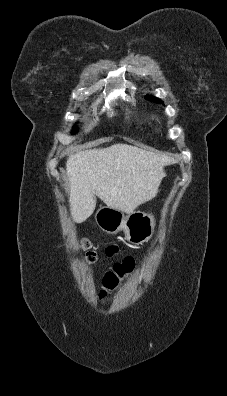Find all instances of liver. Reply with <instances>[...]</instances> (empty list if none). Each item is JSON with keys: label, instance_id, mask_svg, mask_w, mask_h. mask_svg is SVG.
<instances>
[{"label": "liver", "instance_id": "obj_1", "mask_svg": "<svg viewBox=\"0 0 227 396\" xmlns=\"http://www.w3.org/2000/svg\"><path fill=\"white\" fill-rule=\"evenodd\" d=\"M168 156L117 143L72 154L66 162L69 203L76 223L89 218L98 196L108 207L125 213L151 200L164 176Z\"/></svg>", "mask_w": 227, "mask_h": 396}]
</instances>
